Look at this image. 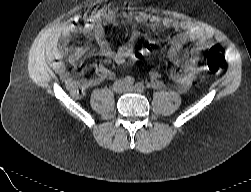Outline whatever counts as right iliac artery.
<instances>
[{"label": "right iliac artery", "instance_id": "82829eb1", "mask_svg": "<svg viewBox=\"0 0 251 192\" xmlns=\"http://www.w3.org/2000/svg\"><path fill=\"white\" fill-rule=\"evenodd\" d=\"M134 82H135V80H134V78L131 77V76H126V77L124 78V83H125V85H127V86H132V85L134 84Z\"/></svg>", "mask_w": 251, "mask_h": 192}]
</instances>
